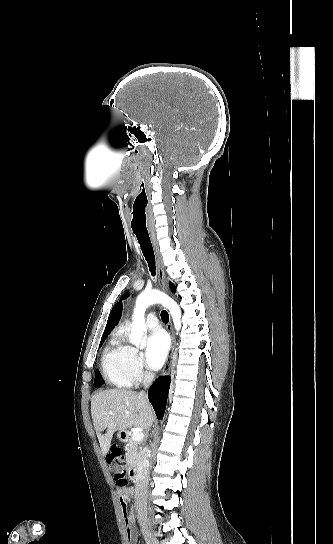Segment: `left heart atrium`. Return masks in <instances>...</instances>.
<instances>
[{"label": "left heart atrium", "instance_id": "left-heart-atrium-1", "mask_svg": "<svg viewBox=\"0 0 333 544\" xmlns=\"http://www.w3.org/2000/svg\"><path fill=\"white\" fill-rule=\"evenodd\" d=\"M169 339L163 331H154L146 341L145 357L150 368L158 370L165 362Z\"/></svg>", "mask_w": 333, "mask_h": 544}]
</instances>
